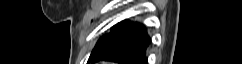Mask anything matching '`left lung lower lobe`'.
Masks as SVG:
<instances>
[{
  "instance_id": "left-lung-lower-lobe-1",
  "label": "left lung lower lobe",
  "mask_w": 242,
  "mask_h": 64,
  "mask_svg": "<svg viewBox=\"0 0 242 64\" xmlns=\"http://www.w3.org/2000/svg\"><path fill=\"white\" fill-rule=\"evenodd\" d=\"M150 42L143 24L125 20L116 24L110 33L99 39L88 61L146 64L145 51Z\"/></svg>"
}]
</instances>
